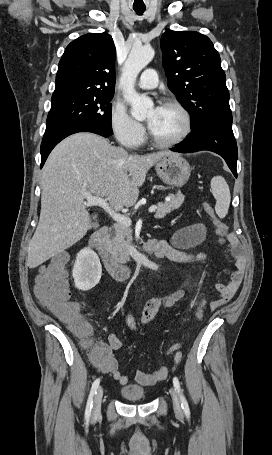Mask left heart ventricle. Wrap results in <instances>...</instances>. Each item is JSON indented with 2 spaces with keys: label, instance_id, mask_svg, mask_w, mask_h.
Listing matches in <instances>:
<instances>
[{
  "label": "left heart ventricle",
  "instance_id": "left-heart-ventricle-1",
  "mask_svg": "<svg viewBox=\"0 0 272 455\" xmlns=\"http://www.w3.org/2000/svg\"><path fill=\"white\" fill-rule=\"evenodd\" d=\"M154 119L151 132L160 140L168 141L177 137L183 129L181 114L173 107L161 106L157 113L151 109L147 114V121Z\"/></svg>",
  "mask_w": 272,
  "mask_h": 455
}]
</instances>
